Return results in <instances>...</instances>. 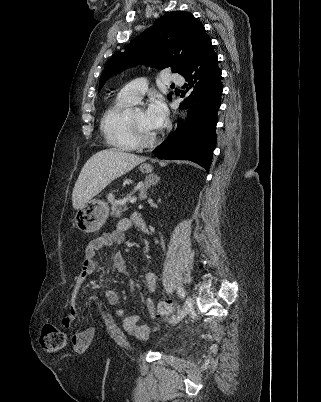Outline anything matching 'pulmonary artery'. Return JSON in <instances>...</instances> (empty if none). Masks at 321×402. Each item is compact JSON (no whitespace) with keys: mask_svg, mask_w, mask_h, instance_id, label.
I'll list each match as a JSON object with an SVG mask.
<instances>
[{"mask_svg":"<svg viewBox=\"0 0 321 402\" xmlns=\"http://www.w3.org/2000/svg\"><path fill=\"white\" fill-rule=\"evenodd\" d=\"M163 84H183L184 78L179 74H167L162 78ZM147 84L144 79H136L124 86L118 93L120 100L136 103L138 102L146 90Z\"/></svg>","mask_w":321,"mask_h":402,"instance_id":"e3ab8cb5","label":"pulmonary artery"}]
</instances>
